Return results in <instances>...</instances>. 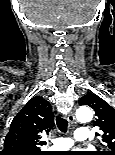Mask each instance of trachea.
I'll return each mask as SVG.
<instances>
[{
  "label": "trachea",
  "instance_id": "obj_1",
  "mask_svg": "<svg viewBox=\"0 0 115 155\" xmlns=\"http://www.w3.org/2000/svg\"><path fill=\"white\" fill-rule=\"evenodd\" d=\"M56 124H57L58 129H59L61 132H63V133L67 132V129H68V122H67V120H65L63 117L57 116V117H56Z\"/></svg>",
  "mask_w": 115,
  "mask_h": 155
}]
</instances>
